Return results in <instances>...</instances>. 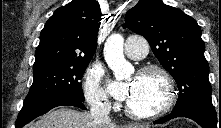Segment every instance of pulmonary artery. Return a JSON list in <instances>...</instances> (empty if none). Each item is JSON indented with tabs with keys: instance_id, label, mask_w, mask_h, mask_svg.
<instances>
[{
	"instance_id": "1",
	"label": "pulmonary artery",
	"mask_w": 221,
	"mask_h": 128,
	"mask_svg": "<svg viewBox=\"0 0 221 128\" xmlns=\"http://www.w3.org/2000/svg\"><path fill=\"white\" fill-rule=\"evenodd\" d=\"M147 40L139 35H131L125 42V54L131 59H140L148 51Z\"/></svg>"
}]
</instances>
